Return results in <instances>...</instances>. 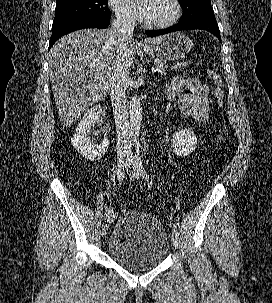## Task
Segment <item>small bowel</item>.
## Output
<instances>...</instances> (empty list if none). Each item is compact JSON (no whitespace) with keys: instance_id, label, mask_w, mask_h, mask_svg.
Returning a JSON list of instances; mask_svg holds the SVG:
<instances>
[{"instance_id":"obj_1","label":"small bowel","mask_w":272,"mask_h":303,"mask_svg":"<svg viewBox=\"0 0 272 303\" xmlns=\"http://www.w3.org/2000/svg\"><path fill=\"white\" fill-rule=\"evenodd\" d=\"M209 91V86L198 79L176 77L168 89V94L178 99L183 115L204 125L210 114Z\"/></svg>"}]
</instances>
